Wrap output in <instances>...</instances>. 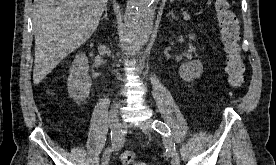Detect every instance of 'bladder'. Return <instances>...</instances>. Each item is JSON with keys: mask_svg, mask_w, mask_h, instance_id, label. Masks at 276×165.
Instances as JSON below:
<instances>
[{"mask_svg": "<svg viewBox=\"0 0 276 165\" xmlns=\"http://www.w3.org/2000/svg\"><path fill=\"white\" fill-rule=\"evenodd\" d=\"M133 165H148V164L143 163V162H138V163H134Z\"/></svg>", "mask_w": 276, "mask_h": 165, "instance_id": "obj_1", "label": "bladder"}]
</instances>
